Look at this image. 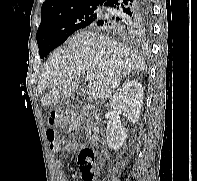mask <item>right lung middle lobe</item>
I'll return each mask as SVG.
<instances>
[{"label": "right lung middle lobe", "instance_id": "dd1d6c3e", "mask_svg": "<svg viewBox=\"0 0 197 181\" xmlns=\"http://www.w3.org/2000/svg\"><path fill=\"white\" fill-rule=\"evenodd\" d=\"M99 5L79 7L41 20L36 39L40 58L64 43L75 31L92 26L100 19Z\"/></svg>", "mask_w": 197, "mask_h": 181}]
</instances>
